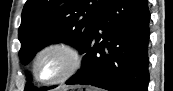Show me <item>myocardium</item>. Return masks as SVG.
Returning a JSON list of instances; mask_svg holds the SVG:
<instances>
[{"mask_svg": "<svg viewBox=\"0 0 173 91\" xmlns=\"http://www.w3.org/2000/svg\"><path fill=\"white\" fill-rule=\"evenodd\" d=\"M51 52H56L61 54L66 61V66L61 73L53 77H50L48 79H43L38 72V66L42 57ZM82 64H83V55L80 49L76 45L68 41L56 40L47 43L38 50L33 60L32 71L34 78L39 83L43 85H56L66 81L67 79L75 75L78 72V70L81 68Z\"/></svg>", "mask_w": 173, "mask_h": 91, "instance_id": "f54148a6", "label": "myocardium"}]
</instances>
